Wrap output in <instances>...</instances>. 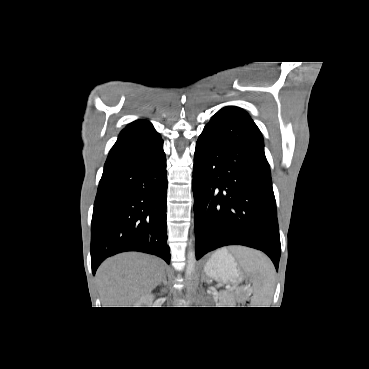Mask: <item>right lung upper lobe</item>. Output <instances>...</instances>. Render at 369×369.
I'll return each mask as SVG.
<instances>
[{
  "instance_id": "obj_1",
  "label": "right lung upper lobe",
  "mask_w": 369,
  "mask_h": 369,
  "mask_svg": "<svg viewBox=\"0 0 369 369\" xmlns=\"http://www.w3.org/2000/svg\"><path fill=\"white\" fill-rule=\"evenodd\" d=\"M154 129L152 124L146 120H136L130 123L125 129L119 134L118 140L125 137L134 136L148 130Z\"/></svg>"
}]
</instances>
